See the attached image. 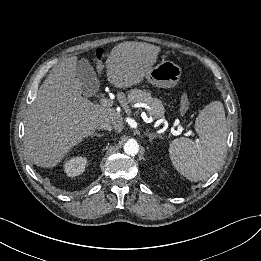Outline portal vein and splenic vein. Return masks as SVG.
<instances>
[{"mask_svg": "<svg viewBox=\"0 0 261 261\" xmlns=\"http://www.w3.org/2000/svg\"><path fill=\"white\" fill-rule=\"evenodd\" d=\"M100 104H101L102 106H105V107H112L113 104H114V102H113L112 100L108 99V98H101V99H100ZM142 107H145L146 109H149V106L144 105V104L142 105ZM153 121H154V118H153L152 116H150L149 118H146V122H147V123H151V122H153ZM160 123H161V121L158 120V121L155 122V125H156V126H159Z\"/></svg>", "mask_w": 261, "mask_h": 261, "instance_id": "18ae733b", "label": "portal vein and splenic vein"}]
</instances>
